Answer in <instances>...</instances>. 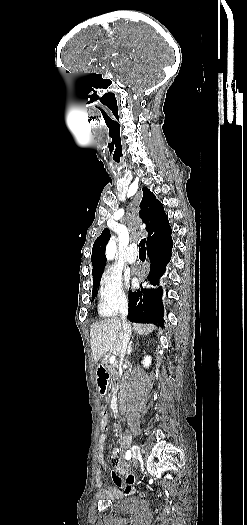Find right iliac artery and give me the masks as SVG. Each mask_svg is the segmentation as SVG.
I'll use <instances>...</instances> for the list:
<instances>
[{
  "label": "right iliac artery",
  "mask_w": 247,
  "mask_h": 525,
  "mask_svg": "<svg viewBox=\"0 0 247 525\" xmlns=\"http://www.w3.org/2000/svg\"><path fill=\"white\" fill-rule=\"evenodd\" d=\"M125 457H126L127 460H129L131 458V451L128 450L126 452V456Z\"/></svg>",
  "instance_id": "right-iliac-artery-1"
}]
</instances>
